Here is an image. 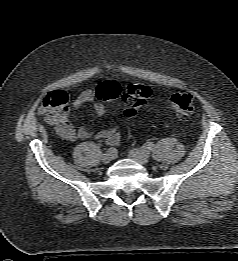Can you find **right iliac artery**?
<instances>
[{
    "mask_svg": "<svg viewBox=\"0 0 238 261\" xmlns=\"http://www.w3.org/2000/svg\"><path fill=\"white\" fill-rule=\"evenodd\" d=\"M107 152L109 153V155H114V154H116L117 153V150L115 149V148H108L107 149Z\"/></svg>",
    "mask_w": 238,
    "mask_h": 261,
    "instance_id": "1",
    "label": "right iliac artery"
}]
</instances>
